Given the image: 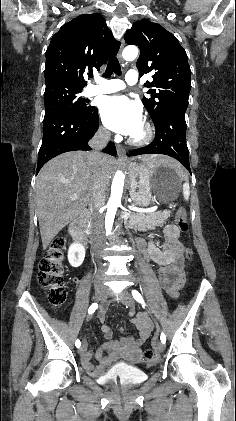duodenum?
<instances>
[{"label": "duodenum", "mask_w": 236, "mask_h": 421, "mask_svg": "<svg viewBox=\"0 0 236 421\" xmlns=\"http://www.w3.org/2000/svg\"><path fill=\"white\" fill-rule=\"evenodd\" d=\"M88 219V212L82 211L79 215L70 223L69 231L77 245L85 249L87 246L86 237L84 234V227ZM139 247L144 252L148 260L158 264L160 269V280L164 289H166L170 295L175 296L176 290L183 283L182 275V259L179 254V250L174 243H169L163 250H159L153 246H150L148 250L143 247V242L137 241ZM138 327L140 322H137ZM141 339L137 340L134 345L138 346ZM106 348L110 351L108 357L103 358L100 356L98 359L101 360V365L98 367L93 366L90 362V354L86 353L83 358V366L87 372L93 376L101 375L107 366L117 358V345L114 343H108Z\"/></svg>", "instance_id": "410a0bca"}]
</instances>
